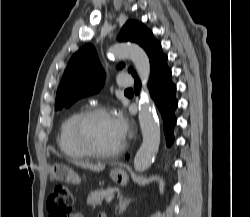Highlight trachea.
<instances>
[{
    "label": "trachea",
    "mask_w": 250,
    "mask_h": 217,
    "mask_svg": "<svg viewBox=\"0 0 250 217\" xmlns=\"http://www.w3.org/2000/svg\"><path fill=\"white\" fill-rule=\"evenodd\" d=\"M126 91H132V89H131V88H129V89H126Z\"/></svg>",
    "instance_id": "obj_1"
}]
</instances>
